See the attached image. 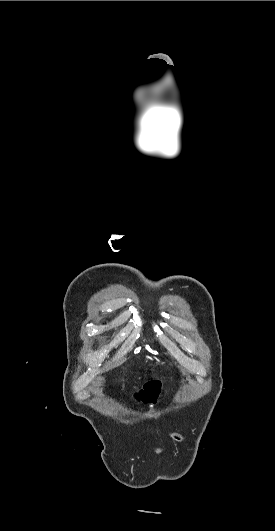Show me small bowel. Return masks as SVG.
I'll use <instances>...</instances> for the list:
<instances>
[{
    "label": "small bowel",
    "mask_w": 275,
    "mask_h": 531,
    "mask_svg": "<svg viewBox=\"0 0 275 531\" xmlns=\"http://www.w3.org/2000/svg\"><path fill=\"white\" fill-rule=\"evenodd\" d=\"M150 374H154V371H150ZM159 391H160V386H159L158 381H153L149 383L148 385H146L145 388L139 392L138 399L142 400L145 403L153 402L156 399ZM164 391L172 392L173 386L165 385Z\"/></svg>",
    "instance_id": "c3829d8e"
}]
</instances>
